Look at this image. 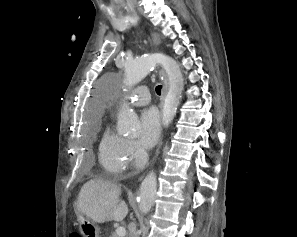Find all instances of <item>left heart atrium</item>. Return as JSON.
Returning <instances> with one entry per match:
<instances>
[{
  "mask_svg": "<svg viewBox=\"0 0 297 237\" xmlns=\"http://www.w3.org/2000/svg\"><path fill=\"white\" fill-rule=\"evenodd\" d=\"M141 131L139 142L143 147L154 146L161 132V118L159 111L155 107L145 109L140 115Z\"/></svg>",
  "mask_w": 297,
  "mask_h": 237,
  "instance_id": "39dd6f15",
  "label": "left heart atrium"
}]
</instances>
